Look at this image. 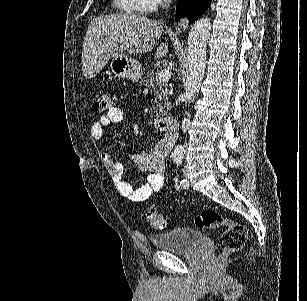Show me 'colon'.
<instances>
[{"label":"colon","instance_id":"5ec220e1","mask_svg":"<svg viewBox=\"0 0 307 301\" xmlns=\"http://www.w3.org/2000/svg\"><path fill=\"white\" fill-rule=\"evenodd\" d=\"M95 112L106 113L112 108V101L107 93H102L93 103ZM147 223L154 229L162 230L167 226L165 217L155 209H150L145 213ZM195 224L200 229H216L225 227L220 235L219 245L222 250L220 259L229 254L239 251L245 245L247 239V229L244 225L224 217L213 209H206L195 218Z\"/></svg>","mask_w":307,"mask_h":301}]
</instances>
